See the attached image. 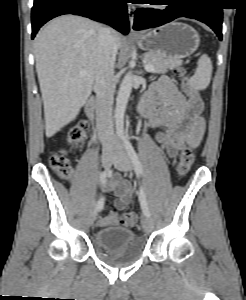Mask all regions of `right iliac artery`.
I'll return each instance as SVG.
<instances>
[{"instance_id":"obj_1","label":"right iliac artery","mask_w":246,"mask_h":300,"mask_svg":"<svg viewBox=\"0 0 246 300\" xmlns=\"http://www.w3.org/2000/svg\"><path fill=\"white\" fill-rule=\"evenodd\" d=\"M111 173L109 169L100 173V182L101 185L104 187L107 181V176ZM104 205L103 199H99L96 203V211H101Z\"/></svg>"}]
</instances>
